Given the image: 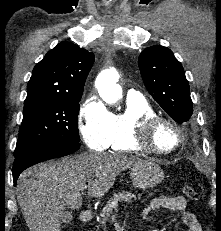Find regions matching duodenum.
Returning a JSON list of instances; mask_svg holds the SVG:
<instances>
[{
  "instance_id": "410a0bca",
  "label": "duodenum",
  "mask_w": 221,
  "mask_h": 231,
  "mask_svg": "<svg viewBox=\"0 0 221 231\" xmlns=\"http://www.w3.org/2000/svg\"><path fill=\"white\" fill-rule=\"evenodd\" d=\"M92 212L88 209H84L82 210L81 214H80V220L83 223H88L92 220Z\"/></svg>"
}]
</instances>
